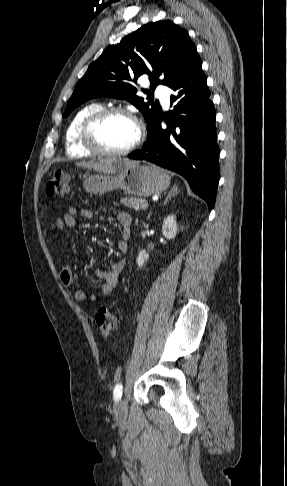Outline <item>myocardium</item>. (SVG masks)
<instances>
[{
	"mask_svg": "<svg viewBox=\"0 0 287 486\" xmlns=\"http://www.w3.org/2000/svg\"><path fill=\"white\" fill-rule=\"evenodd\" d=\"M113 115H121L128 118L135 126L136 135L134 140L125 148L110 151L101 148L96 143L94 131L102 121ZM79 139L81 145L92 155L108 158L120 157L128 155L139 146L143 139V129L137 117L129 110L118 106L104 107L93 112L83 121L79 131Z\"/></svg>",
	"mask_w": 287,
	"mask_h": 486,
	"instance_id": "myocardium-1",
	"label": "myocardium"
}]
</instances>
